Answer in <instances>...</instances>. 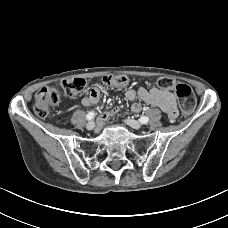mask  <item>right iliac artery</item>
Returning a JSON list of instances; mask_svg holds the SVG:
<instances>
[{"mask_svg":"<svg viewBox=\"0 0 228 228\" xmlns=\"http://www.w3.org/2000/svg\"><path fill=\"white\" fill-rule=\"evenodd\" d=\"M94 116H95V112H89L88 114H87V116H86V119L87 120H92L93 118H94Z\"/></svg>","mask_w":228,"mask_h":228,"instance_id":"obj_1","label":"right iliac artery"}]
</instances>
